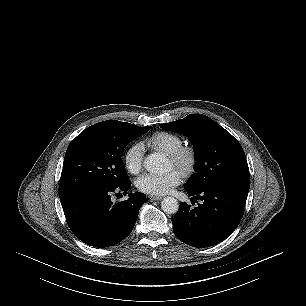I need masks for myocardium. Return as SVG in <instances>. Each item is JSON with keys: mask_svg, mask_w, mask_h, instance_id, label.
<instances>
[{"mask_svg": "<svg viewBox=\"0 0 306 306\" xmlns=\"http://www.w3.org/2000/svg\"><path fill=\"white\" fill-rule=\"evenodd\" d=\"M168 157L185 177L194 172L198 162L197 152L191 145H182Z\"/></svg>", "mask_w": 306, "mask_h": 306, "instance_id": "myocardium-1", "label": "myocardium"}]
</instances>
